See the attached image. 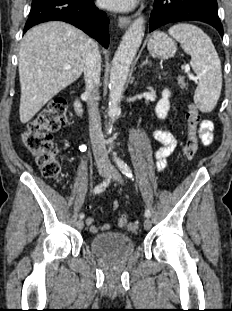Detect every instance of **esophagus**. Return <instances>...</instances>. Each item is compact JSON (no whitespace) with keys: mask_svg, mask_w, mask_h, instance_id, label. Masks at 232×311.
Listing matches in <instances>:
<instances>
[{"mask_svg":"<svg viewBox=\"0 0 232 311\" xmlns=\"http://www.w3.org/2000/svg\"><path fill=\"white\" fill-rule=\"evenodd\" d=\"M130 20H131V18L128 17V16H120V17L118 18V25H119L120 29H125V28H127V26H128L129 23H130Z\"/></svg>","mask_w":232,"mask_h":311,"instance_id":"esophagus-1","label":"esophagus"}]
</instances>
